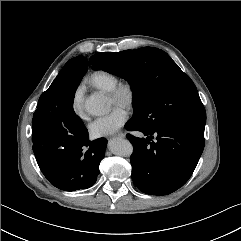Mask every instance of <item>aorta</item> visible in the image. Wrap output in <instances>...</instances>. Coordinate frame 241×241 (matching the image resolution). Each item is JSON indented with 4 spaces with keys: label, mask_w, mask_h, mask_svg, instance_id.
Instances as JSON below:
<instances>
[{
    "label": "aorta",
    "mask_w": 241,
    "mask_h": 241,
    "mask_svg": "<svg viewBox=\"0 0 241 241\" xmlns=\"http://www.w3.org/2000/svg\"><path fill=\"white\" fill-rule=\"evenodd\" d=\"M84 109L88 114L101 116L109 111L110 106L102 93H93L85 100ZM109 148L113 154L118 156L128 157L133 153L131 142L123 138L111 140Z\"/></svg>",
    "instance_id": "obj_1"
}]
</instances>
